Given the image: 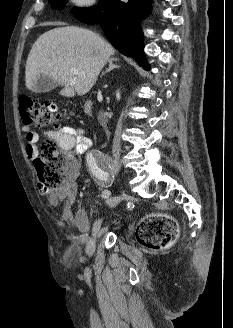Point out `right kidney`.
<instances>
[{
  "label": "right kidney",
  "instance_id": "obj_1",
  "mask_svg": "<svg viewBox=\"0 0 233 328\" xmlns=\"http://www.w3.org/2000/svg\"><path fill=\"white\" fill-rule=\"evenodd\" d=\"M116 98H117V100H120V93H119V91H117V93H116Z\"/></svg>",
  "mask_w": 233,
  "mask_h": 328
}]
</instances>
